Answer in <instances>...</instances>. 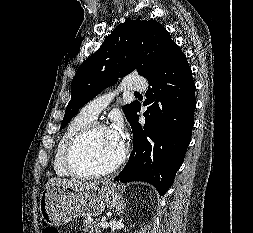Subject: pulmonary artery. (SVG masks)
I'll list each match as a JSON object with an SVG mask.
<instances>
[{
	"mask_svg": "<svg viewBox=\"0 0 253 233\" xmlns=\"http://www.w3.org/2000/svg\"><path fill=\"white\" fill-rule=\"evenodd\" d=\"M147 81L141 78H127L121 85V89L131 92H139L145 90ZM114 96L113 92L99 95L92 101L87 103L80 111V113L88 118L95 120L99 113L110 103Z\"/></svg>",
	"mask_w": 253,
	"mask_h": 233,
	"instance_id": "1",
	"label": "pulmonary artery"
}]
</instances>
